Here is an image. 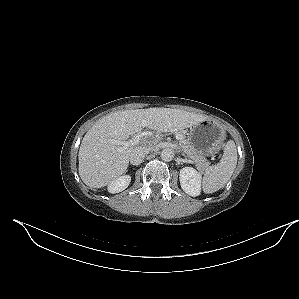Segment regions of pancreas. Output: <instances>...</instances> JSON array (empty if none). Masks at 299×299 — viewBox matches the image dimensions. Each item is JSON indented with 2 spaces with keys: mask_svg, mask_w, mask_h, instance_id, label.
<instances>
[{
  "mask_svg": "<svg viewBox=\"0 0 299 299\" xmlns=\"http://www.w3.org/2000/svg\"><path fill=\"white\" fill-rule=\"evenodd\" d=\"M177 134L183 136V139L179 141L183 152L195 162L196 167L200 171H203L209 165L207 159L201 153H199L187 139L184 138L183 132L178 131Z\"/></svg>",
  "mask_w": 299,
  "mask_h": 299,
  "instance_id": "cf45deb5",
  "label": "pancreas"
}]
</instances>
